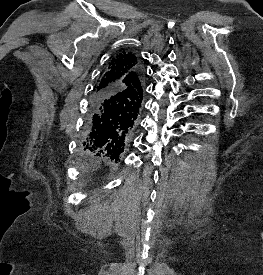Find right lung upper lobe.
<instances>
[{
    "label": "right lung upper lobe",
    "instance_id": "obj_1",
    "mask_svg": "<svg viewBox=\"0 0 263 275\" xmlns=\"http://www.w3.org/2000/svg\"><path fill=\"white\" fill-rule=\"evenodd\" d=\"M137 67H139V63L133 53L118 54L109 62L94 93L125 89L129 93L128 109L132 113H139L143 90L140 79L134 75V70Z\"/></svg>",
    "mask_w": 263,
    "mask_h": 275
}]
</instances>
